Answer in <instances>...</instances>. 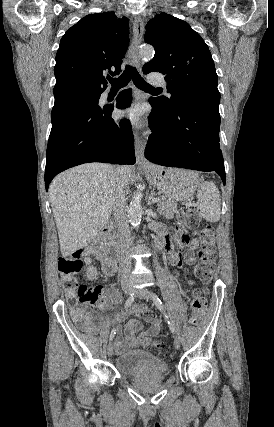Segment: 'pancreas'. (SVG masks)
<instances>
[{
	"instance_id": "1",
	"label": "pancreas",
	"mask_w": 274,
	"mask_h": 427,
	"mask_svg": "<svg viewBox=\"0 0 274 427\" xmlns=\"http://www.w3.org/2000/svg\"><path fill=\"white\" fill-rule=\"evenodd\" d=\"M177 202L175 200H167V198H161L158 202V212L160 215H163V217H174V214L178 212L177 210Z\"/></svg>"
}]
</instances>
